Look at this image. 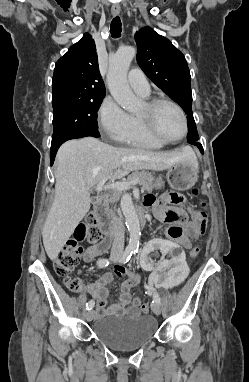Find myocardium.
<instances>
[{
  "mask_svg": "<svg viewBox=\"0 0 249 382\" xmlns=\"http://www.w3.org/2000/svg\"><path fill=\"white\" fill-rule=\"evenodd\" d=\"M162 104H168V105L174 107L178 111V113L182 119L184 130H183L182 135L176 139H169V138L162 136L159 133V131L155 125L154 113H155V110ZM145 105H146V113L144 115H138V117H139L146 133L149 136H151L154 140H156L160 143H163V144H174V143L180 142L181 140H183L186 137V135L188 133L187 116H186V113L183 110V108L177 102H175L171 99H168V98L158 97V98H153V99L148 100L145 103Z\"/></svg>",
  "mask_w": 249,
  "mask_h": 382,
  "instance_id": "obj_1",
  "label": "myocardium"
}]
</instances>
